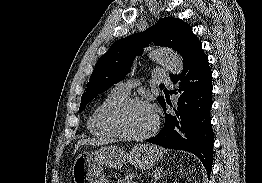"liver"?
<instances>
[{"instance_id":"obj_1","label":"liver","mask_w":262,"mask_h":183,"mask_svg":"<svg viewBox=\"0 0 262 183\" xmlns=\"http://www.w3.org/2000/svg\"><path fill=\"white\" fill-rule=\"evenodd\" d=\"M116 140L113 139H105V138H88V139H81L77 142L75 145V149L73 152V155L76 154L77 150L79 149L80 146L82 145H102V144H107V143H112L115 142Z\"/></svg>"}]
</instances>
